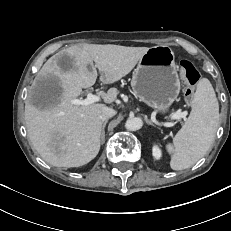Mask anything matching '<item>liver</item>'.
<instances>
[{
	"label": "liver",
	"instance_id": "liver-1",
	"mask_svg": "<svg viewBox=\"0 0 231 231\" xmlns=\"http://www.w3.org/2000/svg\"><path fill=\"white\" fill-rule=\"evenodd\" d=\"M148 47L113 44H81L63 49L50 57L38 72L34 85L55 81L60 93L53 103L38 108L25 103V122L29 139L47 163L58 167H79L93 160L100 150L103 103L74 105L82 88L93 86L97 79L113 84L126 76L148 51ZM95 63V64H94ZM117 88L103 96L110 104L117 98Z\"/></svg>",
	"mask_w": 231,
	"mask_h": 231
}]
</instances>
